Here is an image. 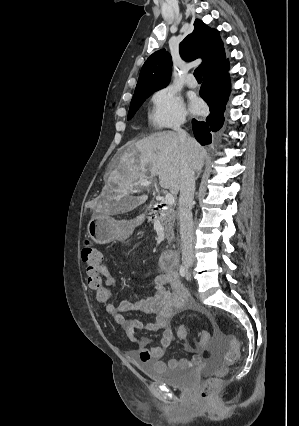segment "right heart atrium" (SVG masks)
Segmentation results:
<instances>
[{
  "label": "right heart atrium",
  "instance_id": "d8ad5b80",
  "mask_svg": "<svg viewBox=\"0 0 299 426\" xmlns=\"http://www.w3.org/2000/svg\"><path fill=\"white\" fill-rule=\"evenodd\" d=\"M185 119L183 100L172 86H165L152 95L150 120L155 127L176 128L183 124Z\"/></svg>",
  "mask_w": 299,
  "mask_h": 426
}]
</instances>
